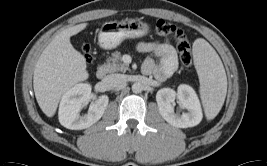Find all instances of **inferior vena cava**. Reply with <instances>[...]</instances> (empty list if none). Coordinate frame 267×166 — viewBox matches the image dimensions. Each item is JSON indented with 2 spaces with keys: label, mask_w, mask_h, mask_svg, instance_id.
Wrapping results in <instances>:
<instances>
[{
  "label": "inferior vena cava",
  "mask_w": 267,
  "mask_h": 166,
  "mask_svg": "<svg viewBox=\"0 0 267 166\" xmlns=\"http://www.w3.org/2000/svg\"><path fill=\"white\" fill-rule=\"evenodd\" d=\"M126 77L123 74H110L102 80L108 90L115 89L126 83Z\"/></svg>",
  "instance_id": "inferior-vena-cava-1"
}]
</instances>
